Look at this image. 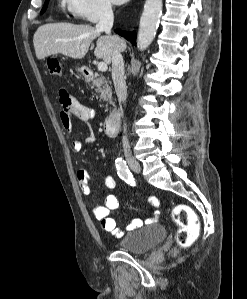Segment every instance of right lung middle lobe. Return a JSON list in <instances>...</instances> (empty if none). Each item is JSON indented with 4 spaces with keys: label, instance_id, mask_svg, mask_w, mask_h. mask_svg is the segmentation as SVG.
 <instances>
[{
    "label": "right lung middle lobe",
    "instance_id": "obj_1",
    "mask_svg": "<svg viewBox=\"0 0 247 299\" xmlns=\"http://www.w3.org/2000/svg\"><path fill=\"white\" fill-rule=\"evenodd\" d=\"M48 2H49V0H46V1H45V3H44V6H43V8H42V11H41V13H44V12H45V10L47 9Z\"/></svg>",
    "mask_w": 247,
    "mask_h": 299
}]
</instances>
